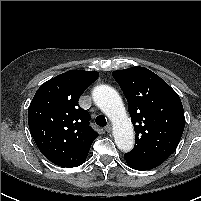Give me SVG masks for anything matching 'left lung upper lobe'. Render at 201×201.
Instances as JSON below:
<instances>
[{"label": "left lung upper lobe", "mask_w": 201, "mask_h": 201, "mask_svg": "<svg viewBox=\"0 0 201 201\" xmlns=\"http://www.w3.org/2000/svg\"><path fill=\"white\" fill-rule=\"evenodd\" d=\"M127 101L135 129V146L125 154L137 162H164L177 148L185 127L178 94L144 67L112 73Z\"/></svg>", "instance_id": "obj_1"}]
</instances>
